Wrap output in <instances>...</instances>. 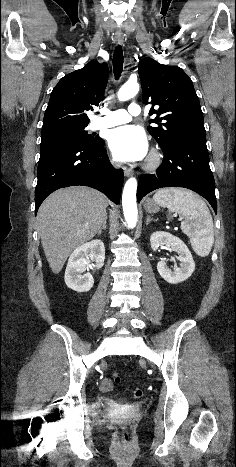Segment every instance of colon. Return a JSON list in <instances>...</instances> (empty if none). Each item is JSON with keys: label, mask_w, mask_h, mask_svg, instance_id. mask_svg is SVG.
<instances>
[{"label": "colon", "mask_w": 236, "mask_h": 467, "mask_svg": "<svg viewBox=\"0 0 236 467\" xmlns=\"http://www.w3.org/2000/svg\"><path fill=\"white\" fill-rule=\"evenodd\" d=\"M114 381L116 383H120L121 382V378L120 376L115 373L114 374ZM131 392H132V395L135 397V398H141L143 396V391L142 389L140 388H132L131 389ZM120 437L122 439L123 442L127 443L130 441V433L129 431L126 429V428H123L120 432Z\"/></svg>", "instance_id": "obj_1"}]
</instances>
